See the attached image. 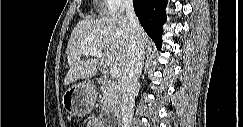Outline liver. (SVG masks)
<instances>
[{"instance_id":"6515ba94","label":"liver","mask_w":243,"mask_h":127,"mask_svg":"<svg viewBox=\"0 0 243 127\" xmlns=\"http://www.w3.org/2000/svg\"><path fill=\"white\" fill-rule=\"evenodd\" d=\"M131 30L129 21L123 15L80 20L74 27L67 45L69 71L65 76L64 85L90 78L97 73L100 58L86 55L85 51L90 49L104 51V66L118 67L122 75L126 67ZM140 37L144 47L151 46V41L142 28ZM84 55L86 60L82 58Z\"/></svg>"}]
</instances>
